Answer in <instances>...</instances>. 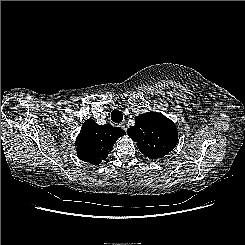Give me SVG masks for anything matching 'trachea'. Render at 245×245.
I'll return each mask as SVG.
<instances>
[{
  "label": "trachea",
  "mask_w": 245,
  "mask_h": 245,
  "mask_svg": "<svg viewBox=\"0 0 245 245\" xmlns=\"http://www.w3.org/2000/svg\"><path fill=\"white\" fill-rule=\"evenodd\" d=\"M111 120L114 123H120L123 120V115L119 110H113L111 113Z\"/></svg>",
  "instance_id": "3493384b"
}]
</instances>
